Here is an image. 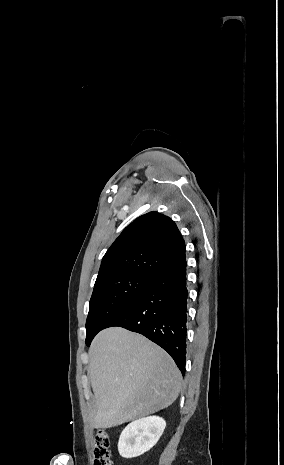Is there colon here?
Segmentation results:
<instances>
[{"mask_svg":"<svg viewBox=\"0 0 284 465\" xmlns=\"http://www.w3.org/2000/svg\"><path fill=\"white\" fill-rule=\"evenodd\" d=\"M94 442L93 465H113V460L109 451V435L101 431H96Z\"/></svg>","mask_w":284,"mask_h":465,"instance_id":"1","label":"colon"}]
</instances>
